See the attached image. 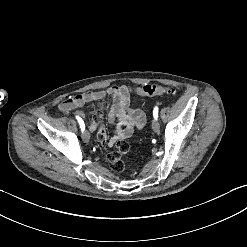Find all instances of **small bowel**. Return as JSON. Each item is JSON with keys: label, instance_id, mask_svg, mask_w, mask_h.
<instances>
[{"label": "small bowel", "instance_id": "small-bowel-1", "mask_svg": "<svg viewBox=\"0 0 247 247\" xmlns=\"http://www.w3.org/2000/svg\"><path fill=\"white\" fill-rule=\"evenodd\" d=\"M107 97L111 101L103 107L108 109V120L114 125V135L109 141V146H115V151L108 150L105 153V158L108 161H113V166L118 173H123L126 170V165L121 154L127 153L131 149V143L128 140L133 137L137 129L143 128L147 122L146 114L141 109L132 107V88L128 85H113L107 90L76 94L63 100L58 108L62 112H69L92 102L104 101ZM77 115L84 118V114L81 112H78ZM100 117L101 115L98 114L93 121L88 122L89 130L96 129ZM95 141L98 144H105L108 141V136L105 133H98L95 136Z\"/></svg>", "mask_w": 247, "mask_h": 247}]
</instances>
